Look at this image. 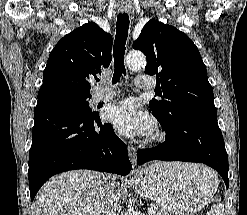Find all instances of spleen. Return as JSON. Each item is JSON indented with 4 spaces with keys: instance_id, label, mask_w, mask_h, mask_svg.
<instances>
[{
    "instance_id": "1",
    "label": "spleen",
    "mask_w": 247,
    "mask_h": 215,
    "mask_svg": "<svg viewBox=\"0 0 247 215\" xmlns=\"http://www.w3.org/2000/svg\"><path fill=\"white\" fill-rule=\"evenodd\" d=\"M215 202L211 206L210 214L211 215H224V205L221 202V199L219 197L213 199Z\"/></svg>"
}]
</instances>
